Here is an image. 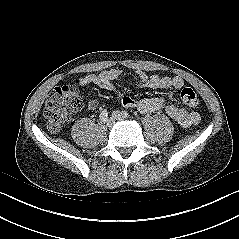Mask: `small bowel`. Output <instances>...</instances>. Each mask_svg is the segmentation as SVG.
Segmentation results:
<instances>
[{
    "mask_svg": "<svg viewBox=\"0 0 239 239\" xmlns=\"http://www.w3.org/2000/svg\"><path fill=\"white\" fill-rule=\"evenodd\" d=\"M122 72L118 68H110L99 73H90L75 79V84L84 87L90 84L97 85L115 94L117 100L127 108H136L143 114H149L165 107L167 115L182 127L188 128L196 125L200 121V115L194 111H187L174 103L165 106L164 97L144 98L135 100L124 95L116 88L113 81L121 76ZM138 86L152 89H181L184 80L180 76H162L158 74L147 75L144 72L137 73ZM98 107L97 100H90L86 109L93 111Z\"/></svg>",
    "mask_w": 239,
    "mask_h": 239,
    "instance_id": "1",
    "label": "small bowel"
}]
</instances>
